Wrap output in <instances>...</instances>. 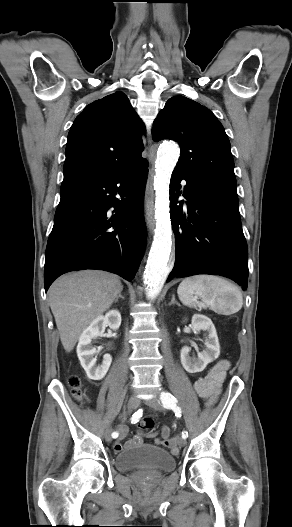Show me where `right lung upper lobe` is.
Returning a JSON list of instances; mask_svg holds the SVG:
<instances>
[{
    "instance_id": "right-lung-upper-lobe-1",
    "label": "right lung upper lobe",
    "mask_w": 292,
    "mask_h": 527,
    "mask_svg": "<svg viewBox=\"0 0 292 527\" xmlns=\"http://www.w3.org/2000/svg\"><path fill=\"white\" fill-rule=\"evenodd\" d=\"M145 126L123 92L90 103L75 119L66 146L64 179L107 177L146 161Z\"/></svg>"
}]
</instances>
